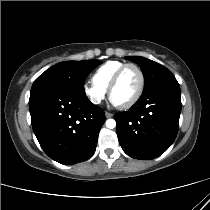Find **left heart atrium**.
<instances>
[{
	"instance_id": "1",
	"label": "left heart atrium",
	"mask_w": 210,
	"mask_h": 210,
	"mask_svg": "<svg viewBox=\"0 0 210 210\" xmlns=\"http://www.w3.org/2000/svg\"><path fill=\"white\" fill-rule=\"evenodd\" d=\"M114 105H116L113 101H111Z\"/></svg>"
}]
</instances>
